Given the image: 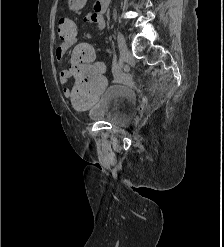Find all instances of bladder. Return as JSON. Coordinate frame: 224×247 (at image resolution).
<instances>
[{"label": "bladder", "mask_w": 224, "mask_h": 247, "mask_svg": "<svg viewBox=\"0 0 224 247\" xmlns=\"http://www.w3.org/2000/svg\"><path fill=\"white\" fill-rule=\"evenodd\" d=\"M137 96L133 88L116 83L106 88L87 109V116L98 122L126 127L136 116Z\"/></svg>", "instance_id": "1"}]
</instances>
